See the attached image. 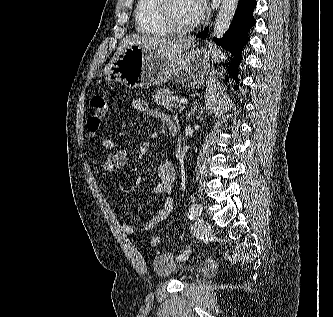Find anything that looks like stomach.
I'll use <instances>...</instances> for the list:
<instances>
[{
  "label": "stomach",
  "instance_id": "stomach-1",
  "mask_svg": "<svg viewBox=\"0 0 333 317\" xmlns=\"http://www.w3.org/2000/svg\"><path fill=\"white\" fill-rule=\"evenodd\" d=\"M210 51L196 48L177 58L164 56L155 50L128 46L103 70L104 80L120 81L128 88L151 87L177 77L182 84L198 88L203 82Z\"/></svg>",
  "mask_w": 333,
  "mask_h": 317
}]
</instances>
